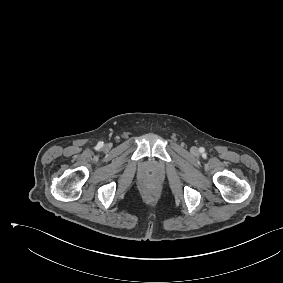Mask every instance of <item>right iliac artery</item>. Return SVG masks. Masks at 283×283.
I'll return each mask as SVG.
<instances>
[{
    "mask_svg": "<svg viewBox=\"0 0 283 283\" xmlns=\"http://www.w3.org/2000/svg\"><path fill=\"white\" fill-rule=\"evenodd\" d=\"M97 146L101 148L103 146V142H99Z\"/></svg>",
    "mask_w": 283,
    "mask_h": 283,
    "instance_id": "1",
    "label": "right iliac artery"
}]
</instances>
